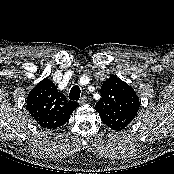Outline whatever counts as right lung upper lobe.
<instances>
[{"label":"right lung upper lobe","instance_id":"1","mask_svg":"<svg viewBox=\"0 0 174 174\" xmlns=\"http://www.w3.org/2000/svg\"><path fill=\"white\" fill-rule=\"evenodd\" d=\"M27 109L36 122L44 129H56L69 120L72 112L79 107L69 102L48 78L38 83L28 94Z\"/></svg>","mask_w":174,"mask_h":174}]
</instances>
